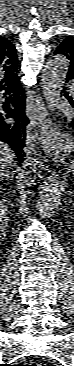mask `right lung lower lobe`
Returning <instances> with one entry per match:
<instances>
[{"label":"right lung lower lobe","mask_w":74,"mask_h":366,"mask_svg":"<svg viewBox=\"0 0 74 366\" xmlns=\"http://www.w3.org/2000/svg\"><path fill=\"white\" fill-rule=\"evenodd\" d=\"M14 97L8 105L0 101V141L6 142L17 156L19 164L23 162V146L26 139L28 118L25 114V94L19 81L10 87H2Z\"/></svg>","instance_id":"right-lung-lower-lobe-1"}]
</instances>
